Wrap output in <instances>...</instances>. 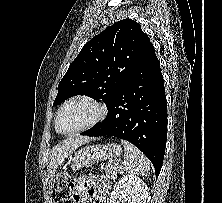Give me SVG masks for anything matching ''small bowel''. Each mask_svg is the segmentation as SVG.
<instances>
[{
    "mask_svg": "<svg viewBox=\"0 0 222 203\" xmlns=\"http://www.w3.org/2000/svg\"><path fill=\"white\" fill-rule=\"evenodd\" d=\"M73 184L74 203H85L89 197H93L95 203H106L108 187L102 184L97 177L87 176Z\"/></svg>",
    "mask_w": 222,
    "mask_h": 203,
    "instance_id": "1",
    "label": "small bowel"
}]
</instances>
